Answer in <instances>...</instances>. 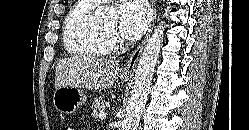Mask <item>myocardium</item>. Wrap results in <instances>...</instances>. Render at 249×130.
I'll use <instances>...</instances> for the list:
<instances>
[{
    "label": "myocardium",
    "mask_w": 249,
    "mask_h": 130,
    "mask_svg": "<svg viewBox=\"0 0 249 130\" xmlns=\"http://www.w3.org/2000/svg\"><path fill=\"white\" fill-rule=\"evenodd\" d=\"M102 32H103V34L107 37V39H111L112 38V36H113V31H108V30H106L105 28H102Z\"/></svg>",
    "instance_id": "myocardium-1"
}]
</instances>
